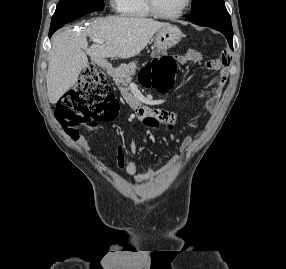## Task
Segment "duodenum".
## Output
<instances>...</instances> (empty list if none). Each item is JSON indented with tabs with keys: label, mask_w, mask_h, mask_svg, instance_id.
I'll list each match as a JSON object with an SVG mask.
<instances>
[{
	"label": "duodenum",
	"mask_w": 286,
	"mask_h": 269,
	"mask_svg": "<svg viewBox=\"0 0 286 269\" xmlns=\"http://www.w3.org/2000/svg\"><path fill=\"white\" fill-rule=\"evenodd\" d=\"M100 64H101V66H102L105 70L108 69V67H107L104 63H100ZM135 108H139V106H135Z\"/></svg>",
	"instance_id": "duodenum-1"
}]
</instances>
